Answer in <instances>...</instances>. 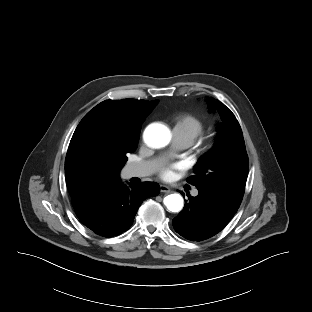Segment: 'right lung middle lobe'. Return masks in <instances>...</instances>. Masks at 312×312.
I'll return each mask as SVG.
<instances>
[{
	"instance_id": "dd1d6c3e",
	"label": "right lung middle lobe",
	"mask_w": 312,
	"mask_h": 312,
	"mask_svg": "<svg viewBox=\"0 0 312 312\" xmlns=\"http://www.w3.org/2000/svg\"><path fill=\"white\" fill-rule=\"evenodd\" d=\"M136 147L137 145L129 150L110 152L102 140H96L82 152L81 156L88 162L112 160L120 167H123L127 161L126 154L135 151Z\"/></svg>"
}]
</instances>
